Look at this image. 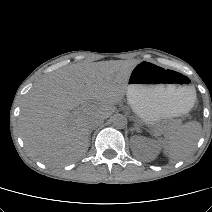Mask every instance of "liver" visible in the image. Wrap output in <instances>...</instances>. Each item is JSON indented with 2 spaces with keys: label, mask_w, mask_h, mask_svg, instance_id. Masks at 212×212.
I'll list each match as a JSON object with an SVG mask.
<instances>
[{
  "label": "liver",
  "mask_w": 212,
  "mask_h": 212,
  "mask_svg": "<svg viewBox=\"0 0 212 212\" xmlns=\"http://www.w3.org/2000/svg\"><path fill=\"white\" fill-rule=\"evenodd\" d=\"M136 63L105 61L76 63L48 75L28 93L19 117V130L28 153L47 165H62L82 156L89 147L88 118H108L127 93ZM88 101L82 111L72 113Z\"/></svg>",
  "instance_id": "obj_1"
}]
</instances>
